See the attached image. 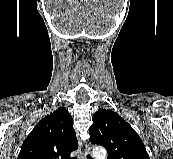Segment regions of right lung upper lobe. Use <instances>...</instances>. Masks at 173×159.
Returning a JSON list of instances; mask_svg holds the SVG:
<instances>
[{"instance_id":"right-lung-upper-lobe-1","label":"right lung upper lobe","mask_w":173,"mask_h":159,"mask_svg":"<svg viewBox=\"0 0 173 159\" xmlns=\"http://www.w3.org/2000/svg\"><path fill=\"white\" fill-rule=\"evenodd\" d=\"M72 116L59 107L43 118L24 140L18 159H75L78 149Z\"/></svg>"}]
</instances>
